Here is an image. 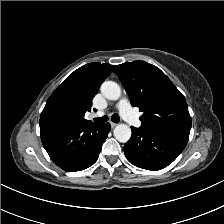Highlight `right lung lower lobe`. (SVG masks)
Wrapping results in <instances>:
<instances>
[{
	"label": "right lung lower lobe",
	"instance_id": "obj_1",
	"mask_svg": "<svg viewBox=\"0 0 224 224\" xmlns=\"http://www.w3.org/2000/svg\"><path fill=\"white\" fill-rule=\"evenodd\" d=\"M111 127L105 124H76L40 118L41 140L53 162L68 172L93 165Z\"/></svg>",
	"mask_w": 224,
	"mask_h": 224
}]
</instances>
